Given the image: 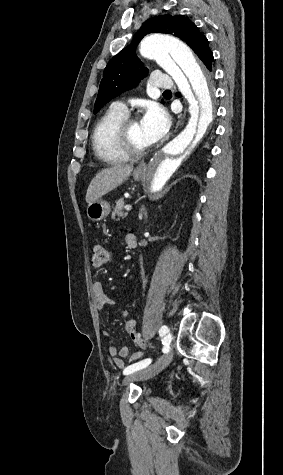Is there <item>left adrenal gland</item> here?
<instances>
[{
	"label": "left adrenal gland",
	"instance_id": "left-adrenal-gland-1",
	"mask_svg": "<svg viewBox=\"0 0 283 475\" xmlns=\"http://www.w3.org/2000/svg\"><path fill=\"white\" fill-rule=\"evenodd\" d=\"M140 214H144V218H145V220H147V218H148L147 210H145L144 206H142V208H140Z\"/></svg>",
	"mask_w": 283,
	"mask_h": 475
}]
</instances>
